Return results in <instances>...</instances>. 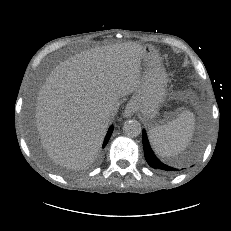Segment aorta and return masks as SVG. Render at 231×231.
<instances>
[{
	"mask_svg": "<svg viewBox=\"0 0 231 231\" xmlns=\"http://www.w3.org/2000/svg\"><path fill=\"white\" fill-rule=\"evenodd\" d=\"M141 131V124L137 120H128L123 124V132L130 138L139 136Z\"/></svg>",
	"mask_w": 231,
	"mask_h": 231,
	"instance_id": "obj_1",
	"label": "aorta"
}]
</instances>
